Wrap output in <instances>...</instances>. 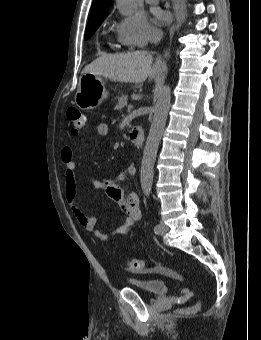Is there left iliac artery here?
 Instances as JSON below:
<instances>
[{
    "instance_id": "left-iliac-artery-1",
    "label": "left iliac artery",
    "mask_w": 261,
    "mask_h": 340,
    "mask_svg": "<svg viewBox=\"0 0 261 340\" xmlns=\"http://www.w3.org/2000/svg\"><path fill=\"white\" fill-rule=\"evenodd\" d=\"M159 229H160V226L158 224H156L154 226V232L156 233L157 231H159Z\"/></svg>"
}]
</instances>
